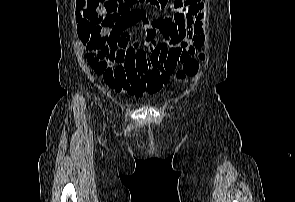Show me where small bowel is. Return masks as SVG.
Masks as SVG:
<instances>
[{
	"instance_id": "small-bowel-1",
	"label": "small bowel",
	"mask_w": 295,
	"mask_h": 202,
	"mask_svg": "<svg viewBox=\"0 0 295 202\" xmlns=\"http://www.w3.org/2000/svg\"><path fill=\"white\" fill-rule=\"evenodd\" d=\"M80 17L92 24L104 20L101 0H76ZM157 13L150 19L141 7L114 19L108 47L88 49L87 61L117 92L136 97L155 93L169 79L168 65L189 58L204 41L205 14L201 0H170L152 5ZM141 25L142 40H133V28ZM112 77H109V76ZM114 76V77H113Z\"/></svg>"
}]
</instances>
